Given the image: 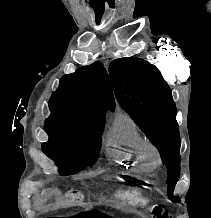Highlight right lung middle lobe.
Here are the masks:
<instances>
[{
	"label": "right lung middle lobe",
	"instance_id": "1",
	"mask_svg": "<svg viewBox=\"0 0 211 218\" xmlns=\"http://www.w3.org/2000/svg\"><path fill=\"white\" fill-rule=\"evenodd\" d=\"M103 121L87 122L70 118L53 117L45 120V131L49 135L47 144L79 147L84 155L78 161L59 164L60 175H70L92 166L101 148Z\"/></svg>",
	"mask_w": 211,
	"mask_h": 218
}]
</instances>
